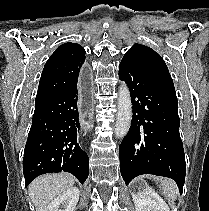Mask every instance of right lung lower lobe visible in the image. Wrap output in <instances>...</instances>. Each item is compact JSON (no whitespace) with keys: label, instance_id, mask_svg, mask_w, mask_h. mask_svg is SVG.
Listing matches in <instances>:
<instances>
[{"label":"right lung lower lobe","instance_id":"98d812e1","mask_svg":"<svg viewBox=\"0 0 209 211\" xmlns=\"http://www.w3.org/2000/svg\"><path fill=\"white\" fill-rule=\"evenodd\" d=\"M79 115L77 85L35 107L24 150L25 187L39 175L61 171L85 182L89 158L77 142Z\"/></svg>","mask_w":209,"mask_h":211}]
</instances>
